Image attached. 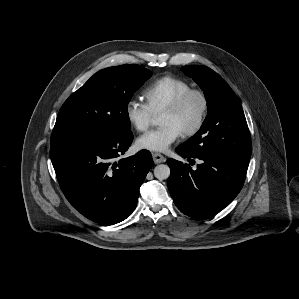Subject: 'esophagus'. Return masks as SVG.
<instances>
[{
	"label": "esophagus",
	"mask_w": 299,
	"mask_h": 299,
	"mask_svg": "<svg viewBox=\"0 0 299 299\" xmlns=\"http://www.w3.org/2000/svg\"><path fill=\"white\" fill-rule=\"evenodd\" d=\"M152 157H153V160H154L155 164L163 163V162L166 161V158L163 155L159 154V153H153Z\"/></svg>",
	"instance_id": "obj_1"
}]
</instances>
